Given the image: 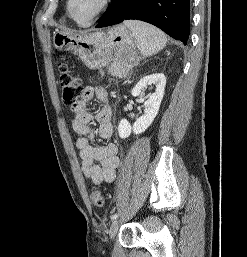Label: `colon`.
<instances>
[{"label": "colon", "mask_w": 247, "mask_h": 257, "mask_svg": "<svg viewBox=\"0 0 247 257\" xmlns=\"http://www.w3.org/2000/svg\"><path fill=\"white\" fill-rule=\"evenodd\" d=\"M59 72V84L62 89L64 101L67 103L77 101L82 92L81 81L73 74L71 67L66 63L60 64ZM90 198L92 203L97 207H102L105 204V196L99 189H92L90 191Z\"/></svg>", "instance_id": "obj_1"}]
</instances>
